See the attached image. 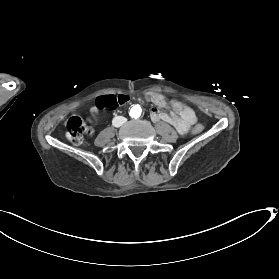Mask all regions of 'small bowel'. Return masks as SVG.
<instances>
[{"label": "small bowel", "mask_w": 279, "mask_h": 279, "mask_svg": "<svg viewBox=\"0 0 279 279\" xmlns=\"http://www.w3.org/2000/svg\"><path fill=\"white\" fill-rule=\"evenodd\" d=\"M147 98L156 107H171L173 109V112L171 114H167L158 110L157 108H153L150 113L151 119L153 121H164L171 124L181 135L186 134L190 130V128L195 124L196 118L193 113L189 115H182L178 112L177 106L179 102L177 100L169 101L162 94L159 93H149L147 95ZM96 114L97 109L93 108L91 110V115L89 118L91 122L95 120Z\"/></svg>", "instance_id": "small-bowel-1"}]
</instances>
